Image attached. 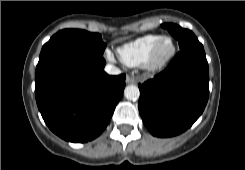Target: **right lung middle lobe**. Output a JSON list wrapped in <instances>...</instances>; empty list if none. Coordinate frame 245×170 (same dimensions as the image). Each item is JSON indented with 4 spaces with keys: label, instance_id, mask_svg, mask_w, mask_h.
I'll use <instances>...</instances> for the list:
<instances>
[{
    "label": "right lung middle lobe",
    "instance_id": "1",
    "mask_svg": "<svg viewBox=\"0 0 245 170\" xmlns=\"http://www.w3.org/2000/svg\"><path fill=\"white\" fill-rule=\"evenodd\" d=\"M106 44L98 33L85 30L65 29L57 32L43 46L36 71L55 57L65 53H87L102 56Z\"/></svg>",
    "mask_w": 245,
    "mask_h": 170
}]
</instances>
